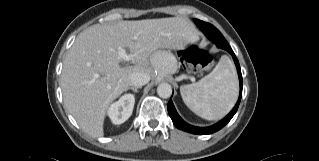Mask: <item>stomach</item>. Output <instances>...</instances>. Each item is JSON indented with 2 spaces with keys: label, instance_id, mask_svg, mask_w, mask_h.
<instances>
[{
  "label": "stomach",
  "instance_id": "1",
  "mask_svg": "<svg viewBox=\"0 0 319 161\" xmlns=\"http://www.w3.org/2000/svg\"><path fill=\"white\" fill-rule=\"evenodd\" d=\"M152 61L161 75L174 74L178 69L177 59L169 50H157L152 55Z\"/></svg>",
  "mask_w": 319,
  "mask_h": 161
}]
</instances>
